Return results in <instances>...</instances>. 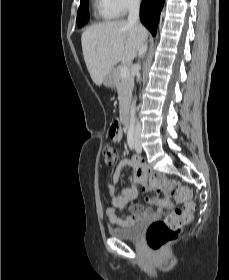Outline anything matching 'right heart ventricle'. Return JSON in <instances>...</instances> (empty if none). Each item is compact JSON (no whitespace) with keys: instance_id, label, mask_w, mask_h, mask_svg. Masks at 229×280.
Masks as SVG:
<instances>
[{"instance_id":"obj_1","label":"right heart ventricle","mask_w":229,"mask_h":280,"mask_svg":"<svg viewBox=\"0 0 229 280\" xmlns=\"http://www.w3.org/2000/svg\"><path fill=\"white\" fill-rule=\"evenodd\" d=\"M93 6L95 15L100 21L108 22L115 18V15L104 6L102 0H93Z\"/></svg>"}]
</instances>
